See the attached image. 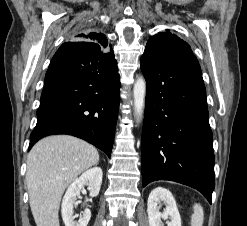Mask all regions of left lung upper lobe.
Segmentation results:
<instances>
[{
	"label": "left lung upper lobe",
	"instance_id": "5c2ea615",
	"mask_svg": "<svg viewBox=\"0 0 247 226\" xmlns=\"http://www.w3.org/2000/svg\"><path fill=\"white\" fill-rule=\"evenodd\" d=\"M146 51L167 55H193L190 46L170 32L152 36L145 48Z\"/></svg>",
	"mask_w": 247,
	"mask_h": 226
}]
</instances>
